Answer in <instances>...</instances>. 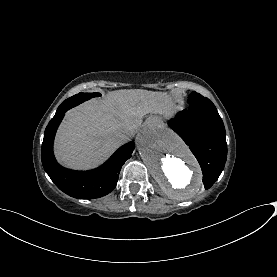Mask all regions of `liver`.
I'll return each instance as SVG.
<instances>
[{
  "label": "liver",
  "instance_id": "liver-1",
  "mask_svg": "<svg viewBox=\"0 0 277 277\" xmlns=\"http://www.w3.org/2000/svg\"><path fill=\"white\" fill-rule=\"evenodd\" d=\"M173 109L164 93L145 90L110 92L103 100H92L71 110L57 137V155L72 167L100 163L121 143L114 133L137 130L148 114L171 116Z\"/></svg>",
  "mask_w": 277,
  "mask_h": 277
}]
</instances>
